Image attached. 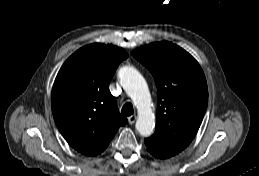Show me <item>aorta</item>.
Listing matches in <instances>:
<instances>
[{
  "label": "aorta",
  "instance_id": "aorta-1",
  "mask_svg": "<svg viewBox=\"0 0 259 176\" xmlns=\"http://www.w3.org/2000/svg\"><path fill=\"white\" fill-rule=\"evenodd\" d=\"M119 78L138 110L136 130L142 136H150L154 131L155 120L151 109L150 92L144 77L134 67L125 66L120 69Z\"/></svg>",
  "mask_w": 259,
  "mask_h": 176
}]
</instances>
